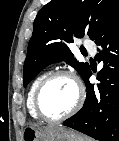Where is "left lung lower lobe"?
I'll list each match as a JSON object with an SVG mask.
<instances>
[{
    "instance_id": "obj_1",
    "label": "left lung lower lobe",
    "mask_w": 119,
    "mask_h": 141,
    "mask_svg": "<svg viewBox=\"0 0 119 141\" xmlns=\"http://www.w3.org/2000/svg\"><path fill=\"white\" fill-rule=\"evenodd\" d=\"M92 40L100 46L97 59L104 63L97 74L100 83L94 87L89 82V69L83 78L87 90L85 103L63 125L99 141H119V8Z\"/></svg>"
}]
</instances>
